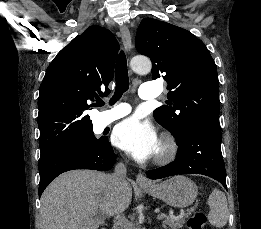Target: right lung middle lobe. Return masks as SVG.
<instances>
[{"label": "right lung middle lobe", "mask_w": 261, "mask_h": 229, "mask_svg": "<svg viewBox=\"0 0 261 229\" xmlns=\"http://www.w3.org/2000/svg\"><path fill=\"white\" fill-rule=\"evenodd\" d=\"M105 141H107V137H101L97 139L94 136L93 131H90L60 146L54 148L40 149V157L47 156L61 149H92L101 146Z\"/></svg>", "instance_id": "1"}]
</instances>
